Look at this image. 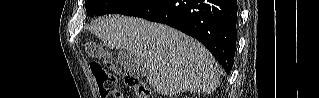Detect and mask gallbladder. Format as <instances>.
Wrapping results in <instances>:
<instances>
[{
  "label": "gallbladder",
  "mask_w": 319,
  "mask_h": 98,
  "mask_svg": "<svg viewBox=\"0 0 319 98\" xmlns=\"http://www.w3.org/2000/svg\"><path fill=\"white\" fill-rule=\"evenodd\" d=\"M106 54L108 58L113 59L115 63L119 64L120 67L123 68L125 71L132 72V73L140 72V68H141L140 61L131 53L122 50L118 52V54L115 57L112 55V53L107 52Z\"/></svg>",
  "instance_id": "obj_1"
}]
</instances>
